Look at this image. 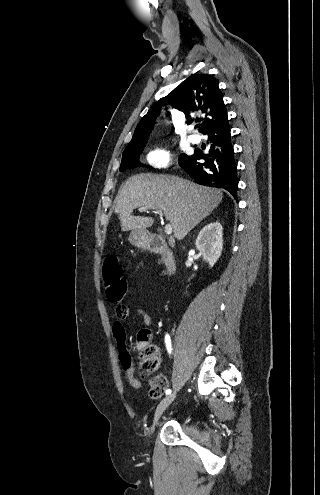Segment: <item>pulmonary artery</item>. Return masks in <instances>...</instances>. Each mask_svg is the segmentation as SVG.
<instances>
[{
    "instance_id": "obj_1",
    "label": "pulmonary artery",
    "mask_w": 320,
    "mask_h": 495,
    "mask_svg": "<svg viewBox=\"0 0 320 495\" xmlns=\"http://www.w3.org/2000/svg\"><path fill=\"white\" fill-rule=\"evenodd\" d=\"M188 140L193 144H197L200 142L201 138L196 134H192L188 137Z\"/></svg>"
}]
</instances>
